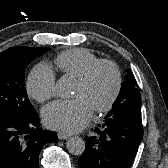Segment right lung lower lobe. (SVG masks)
<instances>
[{"label":"right lung lower lobe","mask_w":168,"mask_h":168,"mask_svg":"<svg viewBox=\"0 0 168 168\" xmlns=\"http://www.w3.org/2000/svg\"><path fill=\"white\" fill-rule=\"evenodd\" d=\"M37 113L28 118L0 116V168H39V154L57 134L43 130Z\"/></svg>","instance_id":"right-lung-lower-lobe-1"}]
</instances>
